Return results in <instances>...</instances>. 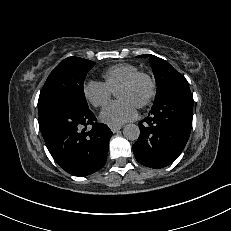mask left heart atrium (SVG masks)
I'll return each mask as SVG.
<instances>
[{
	"label": "left heart atrium",
	"instance_id": "1",
	"mask_svg": "<svg viewBox=\"0 0 231 231\" xmlns=\"http://www.w3.org/2000/svg\"><path fill=\"white\" fill-rule=\"evenodd\" d=\"M137 115L136 106L125 99L108 105L100 114V120L110 126H121L122 124L133 120Z\"/></svg>",
	"mask_w": 231,
	"mask_h": 231
}]
</instances>
